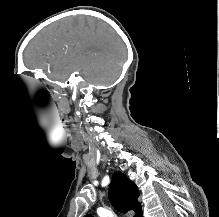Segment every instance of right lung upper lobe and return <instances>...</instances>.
I'll list each match as a JSON object with an SVG mask.
<instances>
[{
	"label": "right lung upper lobe",
	"instance_id": "right-lung-upper-lobe-1",
	"mask_svg": "<svg viewBox=\"0 0 219 217\" xmlns=\"http://www.w3.org/2000/svg\"><path fill=\"white\" fill-rule=\"evenodd\" d=\"M138 197L136 184L123 173L115 172L109 188V199L113 207L122 213L133 210L134 217H143Z\"/></svg>",
	"mask_w": 219,
	"mask_h": 217
}]
</instances>
